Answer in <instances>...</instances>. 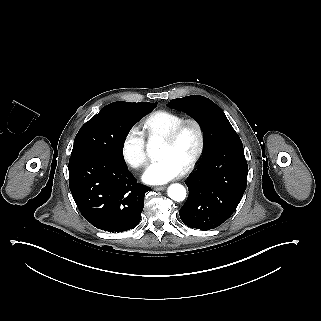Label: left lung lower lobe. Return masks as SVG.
Wrapping results in <instances>:
<instances>
[{
  "mask_svg": "<svg viewBox=\"0 0 321 321\" xmlns=\"http://www.w3.org/2000/svg\"><path fill=\"white\" fill-rule=\"evenodd\" d=\"M248 165L241 140L225 142L202 157L186 182L189 196L179 215L190 228L210 230L226 221L241 201Z\"/></svg>",
  "mask_w": 321,
  "mask_h": 321,
  "instance_id": "0a47b994",
  "label": "left lung lower lobe"
}]
</instances>
